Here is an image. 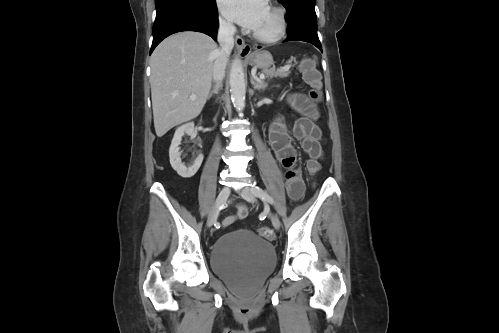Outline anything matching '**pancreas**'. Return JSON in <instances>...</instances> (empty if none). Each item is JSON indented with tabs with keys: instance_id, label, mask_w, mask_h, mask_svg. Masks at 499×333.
Instances as JSON below:
<instances>
[{
	"instance_id": "1",
	"label": "pancreas",
	"mask_w": 499,
	"mask_h": 333,
	"mask_svg": "<svg viewBox=\"0 0 499 333\" xmlns=\"http://www.w3.org/2000/svg\"><path fill=\"white\" fill-rule=\"evenodd\" d=\"M289 68H290V66H288L287 68L269 69V70H265L264 74L267 77H280V78H284V77H287L290 74Z\"/></svg>"
}]
</instances>
